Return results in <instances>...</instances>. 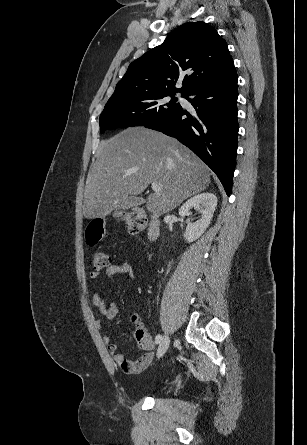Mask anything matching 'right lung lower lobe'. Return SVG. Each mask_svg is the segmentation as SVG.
<instances>
[{
	"instance_id": "obj_1",
	"label": "right lung lower lobe",
	"mask_w": 307,
	"mask_h": 445,
	"mask_svg": "<svg viewBox=\"0 0 307 445\" xmlns=\"http://www.w3.org/2000/svg\"><path fill=\"white\" fill-rule=\"evenodd\" d=\"M191 96V98H188ZM184 97L195 108L181 106L144 127L177 138L218 176L229 196L237 154V73L234 63L216 77L192 88ZM187 115L188 118H182Z\"/></svg>"
}]
</instances>
